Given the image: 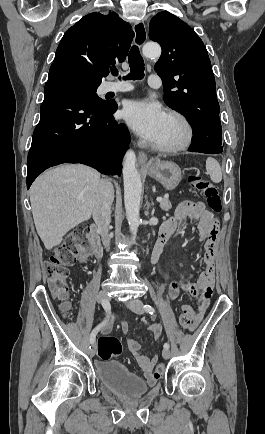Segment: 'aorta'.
<instances>
[{
    "label": "aorta",
    "instance_id": "1",
    "mask_svg": "<svg viewBox=\"0 0 265 434\" xmlns=\"http://www.w3.org/2000/svg\"><path fill=\"white\" fill-rule=\"evenodd\" d=\"M161 50L157 44H145L142 48L143 56L152 58L159 56ZM123 180H124V204L129 222V228L136 236L140 226V198L142 192V184L139 172L136 168V156L133 150H128L125 154L123 162Z\"/></svg>",
    "mask_w": 265,
    "mask_h": 434
}]
</instances>
